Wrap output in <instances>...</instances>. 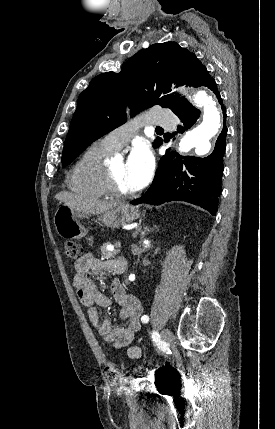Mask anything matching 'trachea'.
Segmentation results:
<instances>
[{"instance_id": "trachea-1", "label": "trachea", "mask_w": 275, "mask_h": 429, "mask_svg": "<svg viewBox=\"0 0 275 429\" xmlns=\"http://www.w3.org/2000/svg\"><path fill=\"white\" fill-rule=\"evenodd\" d=\"M157 131H163V129L159 127V128H157Z\"/></svg>"}]
</instances>
